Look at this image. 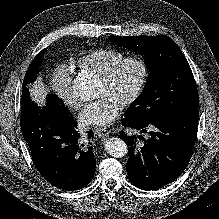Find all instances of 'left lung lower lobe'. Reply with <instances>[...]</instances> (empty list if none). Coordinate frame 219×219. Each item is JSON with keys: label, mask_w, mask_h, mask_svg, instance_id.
I'll return each instance as SVG.
<instances>
[{"label": "left lung lower lobe", "mask_w": 219, "mask_h": 219, "mask_svg": "<svg viewBox=\"0 0 219 219\" xmlns=\"http://www.w3.org/2000/svg\"><path fill=\"white\" fill-rule=\"evenodd\" d=\"M198 119V111L143 122L123 118L124 127L143 133L150 130V137L143 139L142 147H137L135 136L120 132V138L128 146L126 170L130 181L140 189L156 190L178 178L193 154Z\"/></svg>", "instance_id": "left-lung-lower-lobe-1"}]
</instances>
